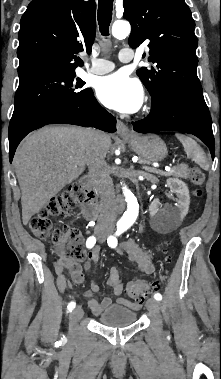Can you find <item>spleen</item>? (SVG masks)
Segmentation results:
<instances>
[{"instance_id": "obj_1", "label": "spleen", "mask_w": 221, "mask_h": 379, "mask_svg": "<svg viewBox=\"0 0 221 379\" xmlns=\"http://www.w3.org/2000/svg\"><path fill=\"white\" fill-rule=\"evenodd\" d=\"M176 137L182 143L187 157L198 164L203 170H208L209 164L206 155L197 142L182 134H176Z\"/></svg>"}]
</instances>
